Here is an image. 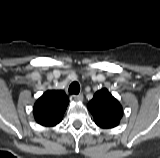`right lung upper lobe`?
<instances>
[{"mask_svg":"<svg viewBox=\"0 0 160 158\" xmlns=\"http://www.w3.org/2000/svg\"><path fill=\"white\" fill-rule=\"evenodd\" d=\"M69 103L62 90H48L35 103L34 117L40 125L52 127L60 123Z\"/></svg>","mask_w":160,"mask_h":158,"instance_id":"1","label":"right lung upper lobe"}]
</instances>
